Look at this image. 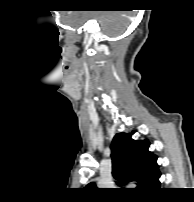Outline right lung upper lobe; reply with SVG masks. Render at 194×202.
<instances>
[{
  "instance_id": "obj_1",
  "label": "right lung upper lobe",
  "mask_w": 194,
  "mask_h": 202,
  "mask_svg": "<svg viewBox=\"0 0 194 202\" xmlns=\"http://www.w3.org/2000/svg\"><path fill=\"white\" fill-rule=\"evenodd\" d=\"M149 146L148 140L136 141L130 134H116L111 145L113 176L120 182H136L141 192L158 188L160 172L157 156L148 150ZM89 185L95 187L94 183Z\"/></svg>"
}]
</instances>
